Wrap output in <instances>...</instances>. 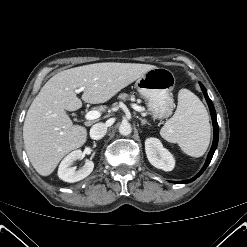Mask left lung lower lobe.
I'll use <instances>...</instances> for the list:
<instances>
[{"label": "left lung lower lobe", "instance_id": "obj_1", "mask_svg": "<svg viewBox=\"0 0 247 247\" xmlns=\"http://www.w3.org/2000/svg\"><path fill=\"white\" fill-rule=\"evenodd\" d=\"M201 89L203 91V94L206 98V101L209 105V109H210V113H211V117H212V122H213V129H214V138H213V144L211 147V150L208 154V157L206 159V162L203 166V168L200 170V172L193 178L189 179V180H185V181H180V182H175V183H190L192 181H194L196 178H198L203 172L204 170L207 168V166L209 165V163L211 162V159L213 157V154L216 150L217 144H218V137H219V131H218V123H217V119H216V112L214 109V106L212 104V101L210 100L205 87L200 83Z\"/></svg>", "mask_w": 247, "mask_h": 247}]
</instances>
